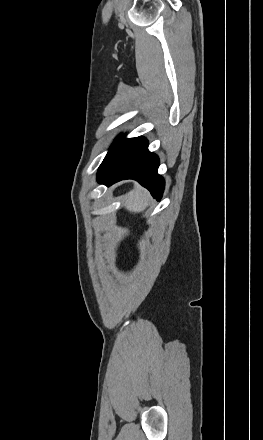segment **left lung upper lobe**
Returning a JSON list of instances; mask_svg holds the SVG:
<instances>
[{
    "mask_svg": "<svg viewBox=\"0 0 263 440\" xmlns=\"http://www.w3.org/2000/svg\"><path fill=\"white\" fill-rule=\"evenodd\" d=\"M120 138H121V135L117 137V139L115 140L114 144L110 147V150L108 151L106 157L104 158L103 162L101 163V165L99 167V170H101L108 163L111 155L113 154L115 148L118 145V142H119Z\"/></svg>",
    "mask_w": 263,
    "mask_h": 440,
    "instance_id": "obj_1",
    "label": "left lung upper lobe"
}]
</instances>
